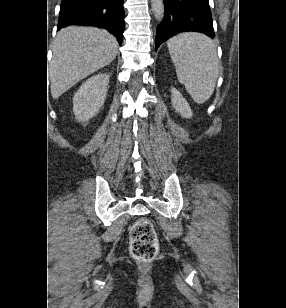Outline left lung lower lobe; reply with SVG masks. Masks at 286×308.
<instances>
[{
	"label": "left lung lower lobe",
	"mask_w": 286,
	"mask_h": 308,
	"mask_svg": "<svg viewBox=\"0 0 286 308\" xmlns=\"http://www.w3.org/2000/svg\"><path fill=\"white\" fill-rule=\"evenodd\" d=\"M164 18L156 32V50L180 32H200L214 38L209 0H163Z\"/></svg>",
	"instance_id": "0a47b994"
}]
</instances>
